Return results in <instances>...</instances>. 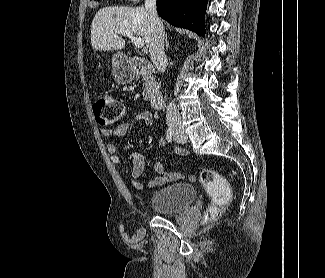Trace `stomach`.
Masks as SVG:
<instances>
[{
  "instance_id": "0dacf381",
  "label": "stomach",
  "mask_w": 325,
  "mask_h": 278,
  "mask_svg": "<svg viewBox=\"0 0 325 278\" xmlns=\"http://www.w3.org/2000/svg\"><path fill=\"white\" fill-rule=\"evenodd\" d=\"M113 73L118 84H128L136 76L135 70L120 54H116L113 57Z\"/></svg>"
}]
</instances>
